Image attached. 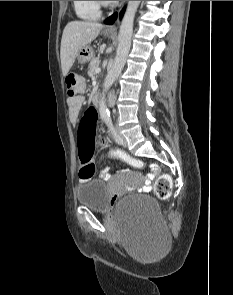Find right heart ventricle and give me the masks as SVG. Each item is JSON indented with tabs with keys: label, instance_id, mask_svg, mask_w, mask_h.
Wrapping results in <instances>:
<instances>
[{
	"label": "right heart ventricle",
	"instance_id": "e07e8e85",
	"mask_svg": "<svg viewBox=\"0 0 233 295\" xmlns=\"http://www.w3.org/2000/svg\"><path fill=\"white\" fill-rule=\"evenodd\" d=\"M76 15L84 20H97L101 16V10L96 1H73Z\"/></svg>",
	"mask_w": 233,
	"mask_h": 295
}]
</instances>
